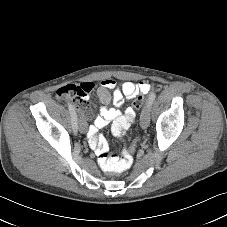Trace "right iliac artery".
<instances>
[{
    "mask_svg": "<svg viewBox=\"0 0 227 227\" xmlns=\"http://www.w3.org/2000/svg\"><path fill=\"white\" fill-rule=\"evenodd\" d=\"M67 105H68L69 112L71 114L72 128H73V131L76 133L78 129L77 114L74 106L71 103L68 102Z\"/></svg>",
    "mask_w": 227,
    "mask_h": 227,
    "instance_id": "82829eb1",
    "label": "right iliac artery"
}]
</instances>
